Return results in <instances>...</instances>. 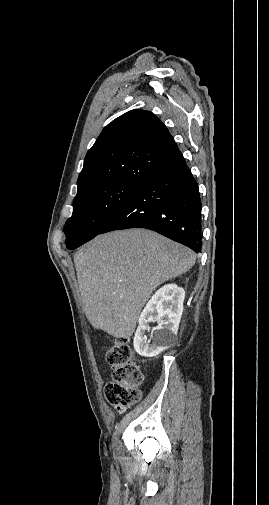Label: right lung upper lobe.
Wrapping results in <instances>:
<instances>
[{
  "label": "right lung upper lobe",
  "instance_id": "1",
  "mask_svg": "<svg viewBox=\"0 0 269 505\" xmlns=\"http://www.w3.org/2000/svg\"><path fill=\"white\" fill-rule=\"evenodd\" d=\"M181 157L167 127L153 113L131 110L108 124L87 152L77 193L105 183L142 185Z\"/></svg>",
  "mask_w": 269,
  "mask_h": 505
}]
</instances>
